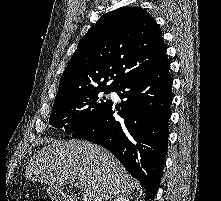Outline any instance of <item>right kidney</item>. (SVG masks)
<instances>
[{"instance_id":"1","label":"right kidney","mask_w":221,"mask_h":201,"mask_svg":"<svg viewBox=\"0 0 221 201\" xmlns=\"http://www.w3.org/2000/svg\"><path fill=\"white\" fill-rule=\"evenodd\" d=\"M114 201H129L126 197H118Z\"/></svg>"}]
</instances>
